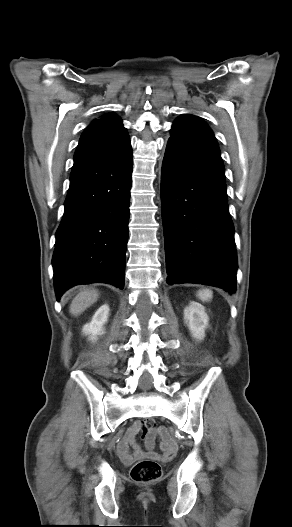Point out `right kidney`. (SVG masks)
<instances>
[{
  "mask_svg": "<svg viewBox=\"0 0 292 527\" xmlns=\"http://www.w3.org/2000/svg\"><path fill=\"white\" fill-rule=\"evenodd\" d=\"M108 315V305L101 306L94 314L91 322L84 325L83 333L89 335L90 340L95 341L97 335L103 334V325L107 322Z\"/></svg>",
  "mask_w": 292,
  "mask_h": 527,
  "instance_id": "1",
  "label": "right kidney"
}]
</instances>
